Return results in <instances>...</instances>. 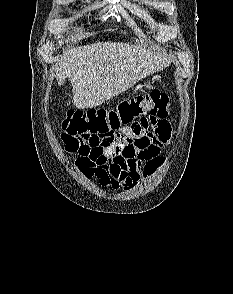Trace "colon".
I'll use <instances>...</instances> for the list:
<instances>
[{"mask_svg": "<svg viewBox=\"0 0 233 294\" xmlns=\"http://www.w3.org/2000/svg\"><path fill=\"white\" fill-rule=\"evenodd\" d=\"M149 114L169 116V101L165 93L152 91L124 100L112 110H70L62 124L65 148L80 157H101L105 149L132 143L131 137H125V132H130L128 123L149 117Z\"/></svg>", "mask_w": 233, "mask_h": 294, "instance_id": "1", "label": "colon"}]
</instances>
